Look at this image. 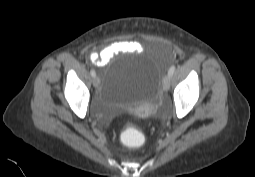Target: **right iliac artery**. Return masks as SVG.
Here are the masks:
<instances>
[{"label":"right iliac artery","mask_w":255,"mask_h":177,"mask_svg":"<svg viewBox=\"0 0 255 177\" xmlns=\"http://www.w3.org/2000/svg\"><path fill=\"white\" fill-rule=\"evenodd\" d=\"M90 74H91L92 77L96 76V73H95V71L93 69L90 70Z\"/></svg>","instance_id":"1"}]
</instances>
